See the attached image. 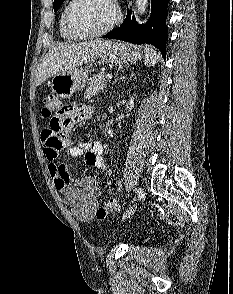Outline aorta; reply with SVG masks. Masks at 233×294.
I'll use <instances>...</instances> for the list:
<instances>
[{
  "label": "aorta",
  "instance_id": "aorta-1",
  "mask_svg": "<svg viewBox=\"0 0 233 294\" xmlns=\"http://www.w3.org/2000/svg\"><path fill=\"white\" fill-rule=\"evenodd\" d=\"M147 7L148 0H136V12L138 15V19H140V17L145 14Z\"/></svg>",
  "mask_w": 233,
  "mask_h": 294
}]
</instances>
